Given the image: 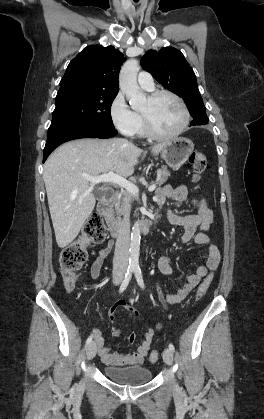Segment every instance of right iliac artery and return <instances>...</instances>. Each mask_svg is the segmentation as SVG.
Segmentation results:
<instances>
[{
  "label": "right iliac artery",
  "mask_w": 264,
  "mask_h": 419,
  "mask_svg": "<svg viewBox=\"0 0 264 419\" xmlns=\"http://www.w3.org/2000/svg\"><path fill=\"white\" fill-rule=\"evenodd\" d=\"M133 270H134V268L128 267L127 272L125 274V278L122 281V284H121L120 289H119L120 293L123 292L127 288L128 284L131 280ZM91 342H92V336H89L88 339L86 340V345L88 346Z\"/></svg>",
  "instance_id": "82829eb1"
}]
</instances>
